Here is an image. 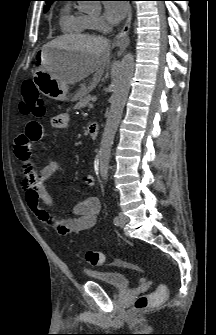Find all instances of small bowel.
Returning <instances> with one entry per match:
<instances>
[{
  "instance_id": "obj_1",
  "label": "small bowel",
  "mask_w": 216,
  "mask_h": 335,
  "mask_svg": "<svg viewBox=\"0 0 216 335\" xmlns=\"http://www.w3.org/2000/svg\"><path fill=\"white\" fill-rule=\"evenodd\" d=\"M69 117L65 113L52 117L51 124L54 128H65ZM43 137V121L29 120L25 124L24 133L19 136L16 143V153L20 160L23 175V193L29 209L36 215L40 222L53 229L60 235L75 234L92 228L96 223V216L100 211L97 197H87L77 203L73 208V216L67 219H58L42 207H53L55 202L45 188V182L59 169L56 162H50L40 171L36 170L32 144L38 143ZM87 186L95 185V178L87 175L84 179Z\"/></svg>"
}]
</instances>
